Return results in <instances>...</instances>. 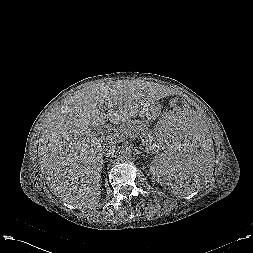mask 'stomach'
I'll use <instances>...</instances> for the list:
<instances>
[{
    "mask_svg": "<svg viewBox=\"0 0 253 253\" xmlns=\"http://www.w3.org/2000/svg\"><path fill=\"white\" fill-rule=\"evenodd\" d=\"M140 118L145 122H150L156 119L157 113L154 107L148 106L142 108L139 112Z\"/></svg>",
    "mask_w": 253,
    "mask_h": 253,
    "instance_id": "stomach-1",
    "label": "stomach"
}]
</instances>
